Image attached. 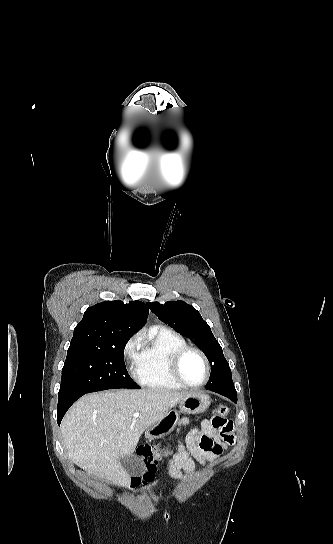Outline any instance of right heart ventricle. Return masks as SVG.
Returning a JSON list of instances; mask_svg holds the SVG:
<instances>
[{
    "instance_id": "1",
    "label": "right heart ventricle",
    "mask_w": 333,
    "mask_h": 544,
    "mask_svg": "<svg viewBox=\"0 0 333 544\" xmlns=\"http://www.w3.org/2000/svg\"><path fill=\"white\" fill-rule=\"evenodd\" d=\"M178 333L162 327L152 328L140 337L139 354L135 368L138 382L147 388L158 390L180 389L169 370L171 355L186 346Z\"/></svg>"
}]
</instances>
